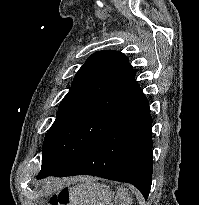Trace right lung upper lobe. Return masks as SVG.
<instances>
[{
	"instance_id": "right-lung-upper-lobe-1",
	"label": "right lung upper lobe",
	"mask_w": 199,
	"mask_h": 205,
	"mask_svg": "<svg viewBox=\"0 0 199 205\" xmlns=\"http://www.w3.org/2000/svg\"><path fill=\"white\" fill-rule=\"evenodd\" d=\"M136 72L123 53L98 51L79 69L58 109H92L122 120L143 108L144 101L130 88Z\"/></svg>"
}]
</instances>
